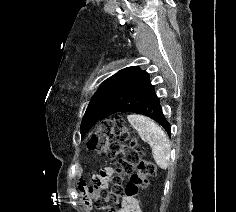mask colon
I'll return each instance as SVG.
<instances>
[{
    "label": "colon",
    "mask_w": 236,
    "mask_h": 212,
    "mask_svg": "<svg viewBox=\"0 0 236 212\" xmlns=\"http://www.w3.org/2000/svg\"><path fill=\"white\" fill-rule=\"evenodd\" d=\"M111 139L115 141L110 142ZM87 147L98 154L117 158L119 171L131 174L130 181L126 185V194L130 197L137 196L141 189L146 188L149 178L156 173L154 164L142 157L136 138L131 136L120 117L103 120L98 131L89 139ZM98 188L99 186L94 185L88 189L94 205L106 212H117L118 200L122 194L119 175L113 177L109 190L100 193Z\"/></svg>",
    "instance_id": "colon-1"
}]
</instances>
